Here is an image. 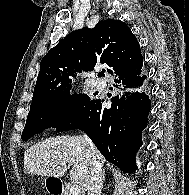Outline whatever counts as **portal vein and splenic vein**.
I'll return each instance as SVG.
<instances>
[{
	"label": "portal vein and splenic vein",
	"instance_id": "18ae733b",
	"mask_svg": "<svg viewBox=\"0 0 189 195\" xmlns=\"http://www.w3.org/2000/svg\"><path fill=\"white\" fill-rule=\"evenodd\" d=\"M80 187L77 184H73L69 189V195H79L80 194Z\"/></svg>",
	"mask_w": 189,
	"mask_h": 195
}]
</instances>
